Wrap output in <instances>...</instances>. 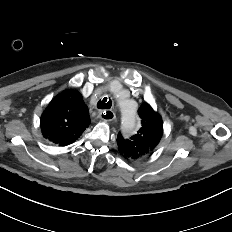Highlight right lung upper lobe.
Segmentation results:
<instances>
[{
	"label": "right lung upper lobe",
	"instance_id": "obj_1",
	"mask_svg": "<svg viewBox=\"0 0 232 232\" xmlns=\"http://www.w3.org/2000/svg\"><path fill=\"white\" fill-rule=\"evenodd\" d=\"M90 122L89 111L81 94L69 89L54 97L43 111L40 128L45 139L66 146L75 142Z\"/></svg>",
	"mask_w": 232,
	"mask_h": 232
}]
</instances>
